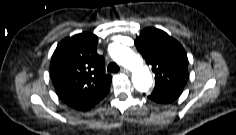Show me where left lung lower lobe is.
<instances>
[{
    "label": "left lung lower lobe",
    "mask_w": 236,
    "mask_h": 135,
    "mask_svg": "<svg viewBox=\"0 0 236 135\" xmlns=\"http://www.w3.org/2000/svg\"><path fill=\"white\" fill-rule=\"evenodd\" d=\"M184 86H176L164 89H156L148 95V99L157 103H171L182 93Z\"/></svg>",
    "instance_id": "1"
}]
</instances>
